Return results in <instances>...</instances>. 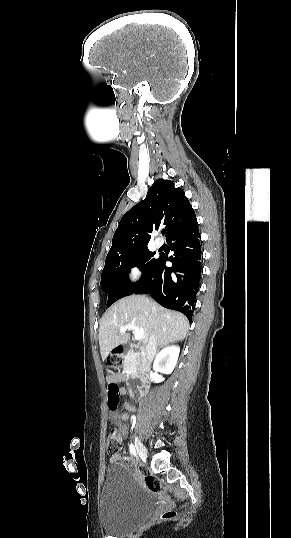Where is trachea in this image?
<instances>
[{
	"instance_id": "trachea-1",
	"label": "trachea",
	"mask_w": 291,
	"mask_h": 538,
	"mask_svg": "<svg viewBox=\"0 0 291 538\" xmlns=\"http://www.w3.org/2000/svg\"><path fill=\"white\" fill-rule=\"evenodd\" d=\"M164 234H165V230H162V235H164Z\"/></svg>"
}]
</instances>
